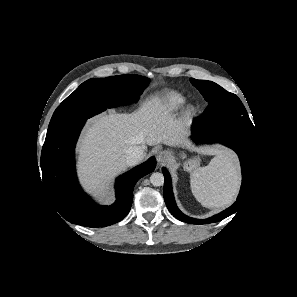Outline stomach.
Returning <instances> with one entry per match:
<instances>
[{"label":"stomach","instance_id":"obj_1","mask_svg":"<svg viewBox=\"0 0 297 297\" xmlns=\"http://www.w3.org/2000/svg\"><path fill=\"white\" fill-rule=\"evenodd\" d=\"M184 170L188 172L196 171L200 166V158L199 157H191L188 158L184 162Z\"/></svg>","mask_w":297,"mask_h":297}]
</instances>
